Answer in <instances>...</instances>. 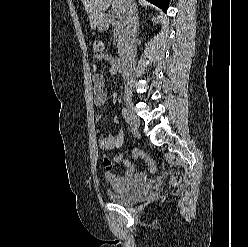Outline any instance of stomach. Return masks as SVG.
<instances>
[{
	"mask_svg": "<svg viewBox=\"0 0 248 247\" xmlns=\"http://www.w3.org/2000/svg\"><path fill=\"white\" fill-rule=\"evenodd\" d=\"M96 27H97V29H98L99 31L102 32V31H105V30L108 29L109 23H108L107 20L103 17V18H101V19L98 21Z\"/></svg>",
	"mask_w": 248,
	"mask_h": 247,
	"instance_id": "0dacf381",
	"label": "stomach"
}]
</instances>
